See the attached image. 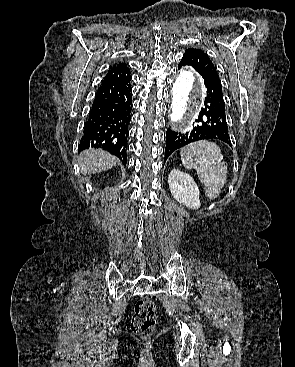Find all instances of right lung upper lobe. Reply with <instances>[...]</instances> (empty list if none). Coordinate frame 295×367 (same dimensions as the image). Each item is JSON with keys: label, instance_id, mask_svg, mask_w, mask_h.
I'll return each instance as SVG.
<instances>
[{"label": "right lung upper lobe", "instance_id": "1", "mask_svg": "<svg viewBox=\"0 0 295 367\" xmlns=\"http://www.w3.org/2000/svg\"><path fill=\"white\" fill-rule=\"evenodd\" d=\"M130 72L125 63H118L108 71L103 81L116 82L130 79Z\"/></svg>", "mask_w": 295, "mask_h": 367}]
</instances>
